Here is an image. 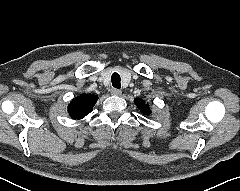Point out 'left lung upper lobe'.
I'll return each mask as SVG.
<instances>
[{"label":"left lung upper lobe","mask_w":240,"mask_h":191,"mask_svg":"<svg viewBox=\"0 0 240 191\" xmlns=\"http://www.w3.org/2000/svg\"><path fill=\"white\" fill-rule=\"evenodd\" d=\"M137 107L142 111V113L149 114L151 111L149 110V106L144 103L142 99H136L135 101Z\"/></svg>","instance_id":"left-lung-upper-lobe-1"}]
</instances>
